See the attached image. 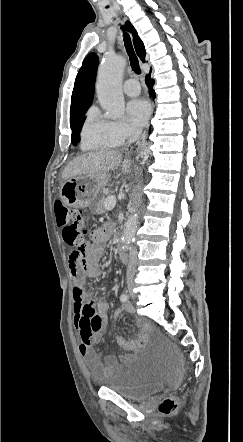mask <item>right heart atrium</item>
Masks as SVG:
<instances>
[{
    "mask_svg": "<svg viewBox=\"0 0 243 442\" xmlns=\"http://www.w3.org/2000/svg\"><path fill=\"white\" fill-rule=\"evenodd\" d=\"M108 128L119 143L132 139L138 134V131L125 120L108 121Z\"/></svg>",
    "mask_w": 243,
    "mask_h": 442,
    "instance_id": "right-heart-atrium-1",
    "label": "right heart atrium"
}]
</instances>
